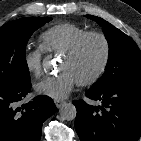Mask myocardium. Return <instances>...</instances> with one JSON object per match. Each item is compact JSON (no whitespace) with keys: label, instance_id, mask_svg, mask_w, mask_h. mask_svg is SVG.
Returning <instances> with one entry per match:
<instances>
[{"label":"myocardium","instance_id":"1","mask_svg":"<svg viewBox=\"0 0 141 141\" xmlns=\"http://www.w3.org/2000/svg\"><path fill=\"white\" fill-rule=\"evenodd\" d=\"M90 38H98L102 42L104 53L97 69L89 77L77 81V83L81 86H89L96 83L106 71L111 57L110 41L104 33L99 31H87L85 34L80 36L67 51L64 52V56L68 58L76 57L85 42Z\"/></svg>","mask_w":141,"mask_h":141}]
</instances>
